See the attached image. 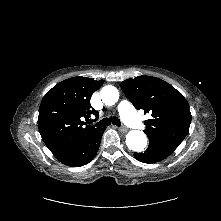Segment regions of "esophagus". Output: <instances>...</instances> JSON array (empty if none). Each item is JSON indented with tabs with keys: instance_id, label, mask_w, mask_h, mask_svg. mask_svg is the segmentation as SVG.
Listing matches in <instances>:
<instances>
[{
	"instance_id": "esophagus-1",
	"label": "esophagus",
	"mask_w": 221,
	"mask_h": 221,
	"mask_svg": "<svg viewBox=\"0 0 221 221\" xmlns=\"http://www.w3.org/2000/svg\"><path fill=\"white\" fill-rule=\"evenodd\" d=\"M119 130L122 132V133H126L128 131V128L127 127H119Z\"/></svg>"
}]
</instances>
